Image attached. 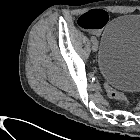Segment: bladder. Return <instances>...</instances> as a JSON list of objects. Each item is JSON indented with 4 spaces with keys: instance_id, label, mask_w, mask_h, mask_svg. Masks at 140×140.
Segmentation results:
<instances>
[{
    "instance_id": "31cf9c89",
    "label": "bladder",
    "mask_w": 140,
    "mask_h": 140,
    "mask_svg": "<svg viewBox=\"0 0 140 140\" xmlns=\"http://www.w3.org/2000/svg\"><path fill=\"white\" fill-rule=\"evenodd\" d=\"M106 82L121 92L140 91V14H123L104 29L97 58Z\"/></svg>"
}]
</instances>
